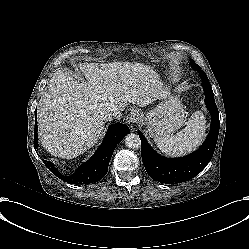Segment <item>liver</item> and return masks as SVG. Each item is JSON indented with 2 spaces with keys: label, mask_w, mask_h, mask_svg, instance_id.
Listing matches in <instances>:
<instances>
[{
  "label": "liver",
  "mask_w": 249,
  "mask_h": 249,
  "mask_svg": "<svg viewBox=\"0 0 249 249\" xmlns=\"http://www.w3.org/2000/svg\"><path fill=\"white\" fill-rule=\"evenodd\" d=\"M88 83L71 74L54 76L38 107L39 139L55 157L72 159L98 143L111 106L123 111L163 98L159 76L141 64H81Z\"/></svg>",
  "instance_id": "liver-1"
}]
</instances>
